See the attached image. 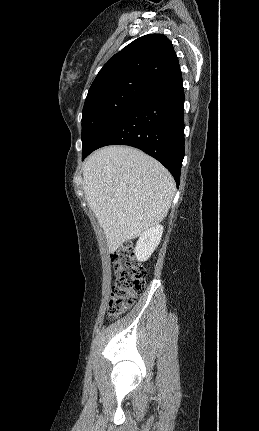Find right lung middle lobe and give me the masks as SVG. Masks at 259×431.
<instances>
[{"label":"right lung middle lobe","mask_w":259,"mask_h":431,"mask_svg":"<svg viewBox=\"0 0 259 431\" xmlns=\"http://www.w3.org/2000/svg\"><path fill=\"white\" fill-rule=\"evenodd\" d=\"M150 88L132 81L88 95L82 112V156L101 133Z\"/></svg>","instance_id":"obj_1"}]
</instances>
